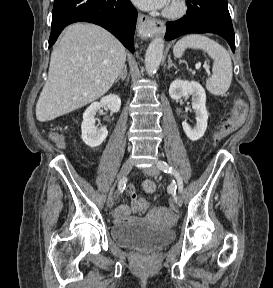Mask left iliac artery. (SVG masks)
I'll list each match as a JSON object with an SVG mask.
<instances>
[{"label":"left iliac artery","mask_w":273,"mask_h":288,"mask_svg":"<svg viewBox=\"0 0 273 288\" xmlns=\"http://www.w3.org/2000/svg\"><path fill=\"white\" fill-rule=\"evenodd\" d=\"M157 167L161 171L165 173L173 174L175 176L177 180L178 191L181 193L183 191V181H182L180 174L176 170H174L172 167H170L165 161H159L157 163Z\"/></svg>","instance_id":"left-iliac-artery-1"}]
</instances>
